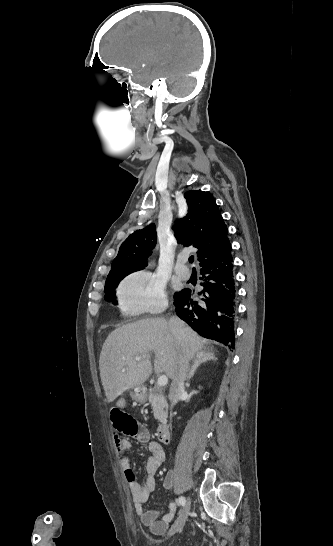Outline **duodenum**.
Listing matches in <instances>:
<instances>
[{
	"mask_svg": "<svg viewBox=\"0 0 333 546\" xmlns=\"http://www.w3.org/2000/svg\"><path fill=\"white\" fill-rule=\"evenodd\" d=\"M156 435H157L158 441H160L161 443H164V444L169 443L170 440H171V435H172L170 424L165 423V424L161 425L157 429Z\"/></svg>",
	"mask_w": 333,
	"mask_h": 546,
	"instance_id": "obj_1",
	"label": "duodenum"
}]
</instances>
